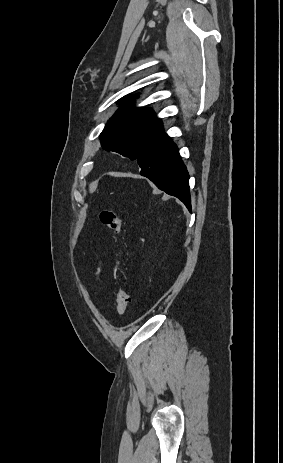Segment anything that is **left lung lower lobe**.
<instances>
[{
    "label": "left lung lower lobe",
    "instance_id": "1",
    "mask_svg": "<svg viewBox=\"0 0 283 463\" xmlns=\"http://www.w3.org/2000/svg\"><path fill=\"white\" fill-rule=\"evenodd\" d=\"M140 174L159 189L179 198L191 211L189 174L177 146L162 130L136 159Z\"/></svg>",
    "mask_w": 283,
    "mask_h": 463
}]
</instances>
